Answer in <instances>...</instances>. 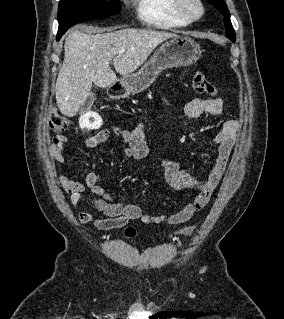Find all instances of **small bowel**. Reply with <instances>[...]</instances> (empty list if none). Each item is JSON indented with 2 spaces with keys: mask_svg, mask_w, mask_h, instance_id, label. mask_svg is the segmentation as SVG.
<instances>
[{
  "mask_svg": "<svg viewBox=\"0 0 284 319\" xmlns=\"http://www.w3.org/2000/svg\"><path fill=\"white\" fill-rule=\"evenodd\" d=\"M185 113L197 117L203 113L213 116L223 114L224 104L220 99L193 98L184 107ZM239 123L226 120L215 137L209 142V147L217 152V158L211 170L200 178H195L179 167L177 161L171 158L159 157L164 168L167 183L178 190H192L196 194L185 206L176 213L155 215L144 207L123 200H114L106 190L100 186V174L94 168L83 182L68 178L58 173V180L69 195L70 203L76 207L81 201L89 202L103 216H97L88 211L78 213L82 224H90L99 230H110L125 226L131 220H141L144 224L168 223L182 224L189 221L195 213L202 210L209 202L213 191L220 183L226 171L229 158L237 139ZM117 135L127 144L124 155L136 160L146 159L151 152L145 142L143 126L138 124L133 129H103L90 136L85 141L89 149L96 148L106 142L111 135ZM67 138L57 135L51 144V156L57 166L66 162L64 147Z\"/></svg>",
  "mask_w": 284,
  "mask_h": 319,
  "instance_id": "small-bowel-1",
  "label": "small bowel"
}]
</instances>
